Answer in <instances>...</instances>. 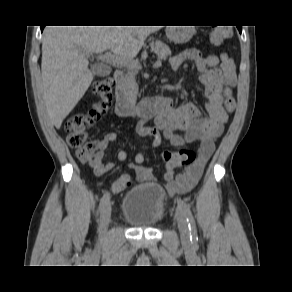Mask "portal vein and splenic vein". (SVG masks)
<instances>
[{
  "label": "portal vein and splenic vein",
  "instance_id": "18ae733b",
  "mask_svg": "<svg viewBox=\"0 0 292 292\" xmlns=\"http://www.w3.org/2000/svg\"><path fill=\"white\" fill-rule=\"evenodd\" d=\"M98 58L101 61H104L109 64L113 65H127V66H132L135 68H140V65L137 61L133 60L132 57H127V56H119V55H113L110 52H106L104 54L99 53ZM162 66V62L160 59H158L154 63V67L158 68Z\"/></svg>",
  "mask_w": 292,
  "mask_h": 292
}]
</instances>
